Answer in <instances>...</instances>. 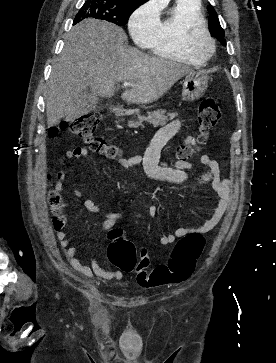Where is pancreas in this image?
<instances>
[{
    "label": "pancreas",
    "mask_w": 276,
    "mask_h": 363,
    "mask_svg": "<svg viewBox=\"0 0 276 363\" xmlns=\"http://www.w3.org/2000/svg\"><path fill=\"white\" fill-rule=\"evenodd\" d=\"M165 113H166L165 110H157V111H153V112H148L147 117L138 115V121L131 120L128 122V124L131 127H138V126L142 125L143 121H147L154 127H157L159 125H161V126L165 125L167 123V121H169V119L177 116L176 113H167V115H165Z\"/></svg>",
    "instance_id": "pancreas-1"
}]
</instances>
